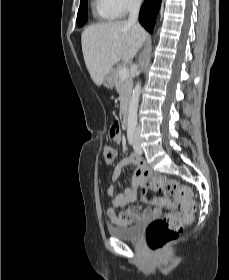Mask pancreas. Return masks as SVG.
<instances>
[{
	"instance_id": "obj_1",
	"label": "pancreas",
	"mask_w": 229,
	"mask_h": 280,
	"mask_svg": "<svg viewBox=\"0 0 229 280\" xmlns=\"http://www.w3.org/2000/svg\"><path fill=\"white\" fill-rule=\"evenodd\" d=\"M121 69L122 66L118 65L116 69H114V72H115V87L118 93L120 94V112L123 113L131 94L133 80L129 75L125 79H121L120 77Z\"/></svg>"
}]
</instances>
